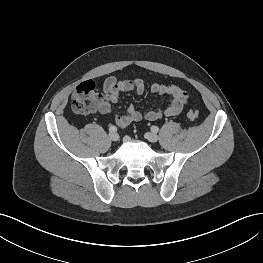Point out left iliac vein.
<instances>
[{
	"instance_id": "4c4485c4",
	"label": "left iliac vein",
	"mask_w": 263,
	"mask_h": 263,
	"mask_svg": "<svg viewBox=\"0 0 263 263\" xmlns=\"http://www.w3.org/2000/svg\"><path fill=\"white\" fill-rule=\"evenodd\" d=\"M145 137L150 142H157L159 139V137L156 134L151 133V132L146 133Z\"/></svg>"
}]
</instances>
